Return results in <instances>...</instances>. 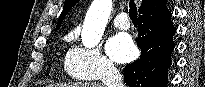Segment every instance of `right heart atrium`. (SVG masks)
Here are the masks:
<instances>
[{
    "mask_svg": "<svg viewBox=\"0 0 205 87\" xmlns=\"http://www.w3.org/2000/svg\"><path fill=\"white\" fill-rule=\"evenodd\" d=\"M70 74L85 80H94L118 71L116 65L99 48L75 45L67 54Z\"/></svg>",
    "mask_w": 205,
    "mask_h": 87,
    "instance_id": "1",
    "label": "right heart atrium"
}]
</instances>
